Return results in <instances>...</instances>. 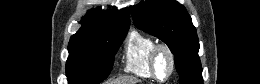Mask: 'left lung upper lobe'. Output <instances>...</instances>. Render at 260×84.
<instances>
[{"label":"left lung upper lobe","mask_w":260,"mask_h":84,"mask_svg":"<svg viewBox=\"0 0 260 84\" xmlns=\"http://www.w3.org/2000/svg\"><path fill=\"white\" fill-rule=\"evenodd\" d=\"M135 26L158 37L174 54L180 84H203L196 29L175 0H146L131 6Z\"/></svg>","instance_id":"5c2ea615"}]
</instances>
